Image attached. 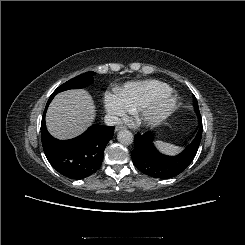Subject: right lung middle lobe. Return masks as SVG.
I'll use <instances>...</instances> for the list:
<instances>
[{
	"instance_id": "obj_1",
	"label": "right lung middle lobe",
	"mask_w": 245,
	"mask_h": 245,
	"mask_svg": "<svg viewBox=\"0 0 245 245\" xmlns=\"http://www.w3.org/2000/svg\"><path fill=\"white\" fill-rule=\"evenodd\" d=\"M94 72H86L84 74H81L77 77H74L70 79L69 81L65 82L61 86H59L52 94V96H55L57 93L68 90V89H79V88H84L87 87L88 85L91 84L92 78Z\"/></svg>"
}]
</instances>
